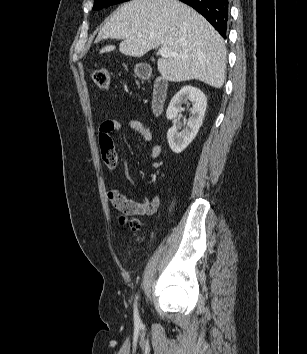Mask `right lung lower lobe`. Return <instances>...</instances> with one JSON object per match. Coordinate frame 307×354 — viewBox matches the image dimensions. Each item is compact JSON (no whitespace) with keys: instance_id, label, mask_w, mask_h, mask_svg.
I'll return each instance as SVG.
<instances>
[{"instance_id":"right-lung-lower-lobe-1","label":"right lung lower lobe","mask_w":307,"mask_h":354,"mask_svg":"<svg viewBox=\"0 0 307 354\" xmlns=\"http://www.w3.org/2000/svg\"><path fill=\"white\" fill-rule=\"evenodd\" d=\"M202 14L226 38L229 0H180Z\"/></svg>"}]
</instances>
